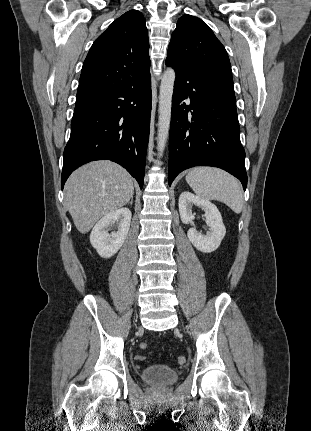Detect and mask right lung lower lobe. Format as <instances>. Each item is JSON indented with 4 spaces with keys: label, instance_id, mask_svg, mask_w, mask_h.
<instances>
[{
    "label": "right lung lower lobe",
    "instance_id": "obj_1",
    "mask_svg": "<svg viewBox=\"0 0 311 431\" xmlns=\"http://www.w3.org/2000/svg\"><path fill=\"white\" fill-rule=\"evenodd\" d=\"M151 101L149 70L137 80L77 96L63 154L61 188L76 168L100 159L126 168L142 188Z\"/></svg>",
    "mask_w": 311,
    "mask_h": 431
}]
</instances>
